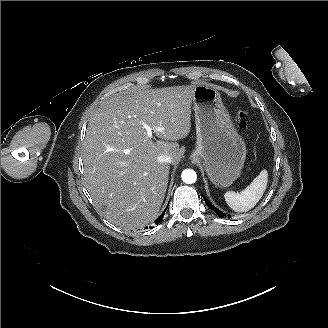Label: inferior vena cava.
Instances as JSON below:
<instances>
[{"label":"inferior vena cava","instance_id":"1","mask_svg":"<svg viewBox=\"0 0 328 328\" xmlns=\"http://www.w3.org/2000/svg\"><path fill=\"white\" fill-rule=\"evenodd\" d=\"M158 160H159V162H167V163H171V161H172L171 156L168 154L160 155L158 157Z\"/></svg>","mask_w":328,"mask_h":328}]
</instances>
